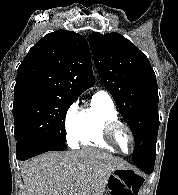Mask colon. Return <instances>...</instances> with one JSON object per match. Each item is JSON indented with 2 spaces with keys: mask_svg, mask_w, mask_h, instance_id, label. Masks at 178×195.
<instances>
[{
  "mask_svg": "<svg viewBox=\"0 0 178 195\" xmlns=\"http://www.w3.org/2000/svg\"><path fill=\"white\" fill-rule=\"evenodd\" d=\"M143 183L142 178H138L132 186L131 194L135 195Z\"/></svg>",
  "mask_w": 178,
  "mask_h": 195,
  "instance_id": "1",
  "label": "colon"
}]
</instances>
